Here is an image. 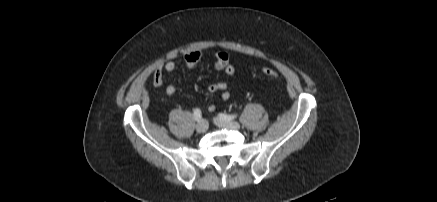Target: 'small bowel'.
<instances>
[{"mask_svg":"<svg viewBox=\"0 0 437 202\" xmlns=\"http://www.w3.org/2000/svg\"><path fill=\"white\" fill-rule=\"evenodd\" d=\"M202 57V53L199 50H193L185 54L184 63L187 67H195ZM213 67L218 70H223L226 75L233 76L235 69L230 62L229 55L226 52H217L214 56ZM176 68L174 61H167L164 64L159 65L154 73V84L158 87L163 85V72H173ZM166 95L170 98L174 97L176 94V88L174 85L169 84L165 89ZM209 93L221 92L222 100L226 101L230 98V92L228 89V84L226 82H215L209 85ZM209 111H214L216 109L215 104H210L208 106Z\"/></svg>","mask_w":437,"mask_h":202,"instance_id":"small-bowel-1","label":"small bowel"}]
</instances>
